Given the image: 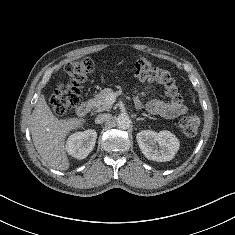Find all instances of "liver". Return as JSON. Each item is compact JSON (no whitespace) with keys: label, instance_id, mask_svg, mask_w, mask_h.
Returning a JSON list of instances; mask_svg holds the SVG:
<instances>
[{"label":"liver","instance_id":"6515ba94","mask_svg":"<svg viewBox=\"0 0 235 235\" xmlns=\"http://www.w3.org/2000/svg\"><path fill=\"white\" fill-rule=\"evenodd\" d=\"M85 122L81 118L58 119L44 96L39 97L31 115V134L37 152L48 166L61 171L69 168L65 139Z\"/></svg>","mask_w":235,"mask_h":235}]
</instances>
